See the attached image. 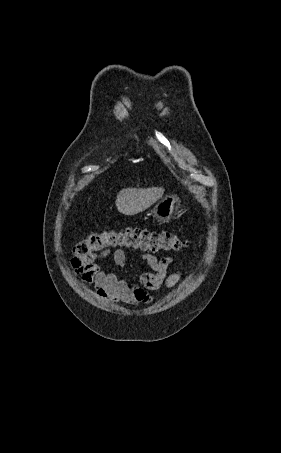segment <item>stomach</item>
Instances as JSON below:
<instances>
[{
	"instance_id": "stomach-1",
	"label": "stomach",
	"mask_w": 281,
	"mask_h": 453,
	"mask_svg": "<svg viewBox=\"0 0 281 453\" xmlns=\"http://www.w3.org/2000/svg\"><path fill=\"white\" fill-rule=\"evenodd\" d=\"M177 202H179V198L176 194H166L164 198H161V200L156 202L150 214H152L158 222H168L177 210Z\"/></svg>"
}]
</instances>
